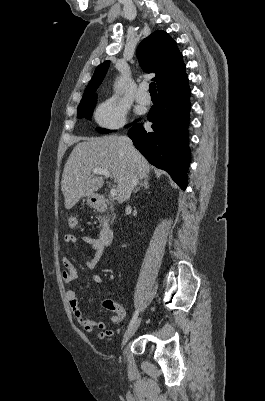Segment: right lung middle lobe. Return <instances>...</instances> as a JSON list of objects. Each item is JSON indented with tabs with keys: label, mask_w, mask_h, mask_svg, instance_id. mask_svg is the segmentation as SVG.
I'll use <instances>...</instances> for the list:
<instances>
[{
	"label": "right lung middle lobe",
	"mask_w": 265,
	"mask_h": 401,
	"mask_svg": "<svg viewBox=\"0 0 265 401\" xmlns=\"http://www.w3.org/2000/svg\"><path fill=\"white\" fill-rule=\"evenodd\" d=\"M95 104H96V97H93L87 101L81 102L78 106V117L79 118L86 117V118L90 119ZM97 131L100 133L112 132V130H107V129H103V128H98Z\"/></svg>",
	"instance_id": "dd1d6c3e"
}]
</instances>
